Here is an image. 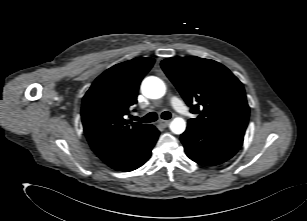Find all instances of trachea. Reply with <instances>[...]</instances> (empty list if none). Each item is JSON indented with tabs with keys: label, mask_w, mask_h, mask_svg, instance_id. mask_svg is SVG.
<instances>
[{
	"label": "trachea",
	"mask_w": 307,
	"mask_h": 221,
	"mask_svg": "<svg viewBox=\"0 0 307 221\" xmlns=\"http://www.w3.org/2000/svg\"><path fill=\"white\" fill-rule=\"evenodd\" d=\"M161 117H162V119H165V120L170 119L171 118V113L168 112V111H165V112L162 113ZM157 118H158V116H157V114L155 112H150V113H148L146 116H144L141 119L136 117V120L144 122V123H150V122L156 121Z\"/></svg>",
	"instance_id": "obj_1"
}]
</instances>
